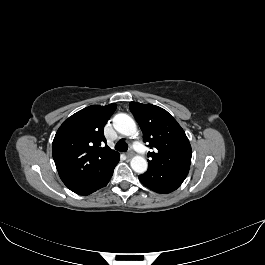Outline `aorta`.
<instances>
[{
  "label": "aorta",
  "instance_id": "obj_1",
  "mask_svg": "<svg viewBox=\"0 0 265 265\" xmlns=\"http://www.w3.org/2000/svg\"><path fill=\"white\" fill-rule=\"evenodd\" d=\"M114 128L122 135L135 136L137 134V126L135 121L125 113H119L113 119ZM131 168L137 173H144L147 170L148 163L142 156L136 155L131 159Z\"/></svg>",
  "mask_w": 265,
  "mask_h": 265
}]
</instances>
